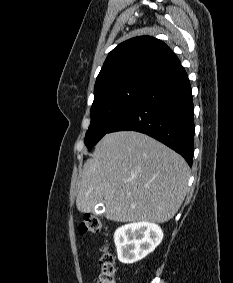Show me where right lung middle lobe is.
I'll return each instance as SVG.
<instances>
[{
  "label": "right lung middle lobe",
  "instance_id": "1",
  "mask_svg": "<svg viewBox=\"0 0 233 283\" xmlns=\"http://www.w3.org/2000/svg\"><path fill=\"white\" fill-rule=\"evenodd\" d=\"M150 82L132 80L94 94L91 107V123L85 137L88 150L109 132L125 114Z\"/></svg>",
  "mask_w": 233,
  "mask_h": 283
}]
</instances>
